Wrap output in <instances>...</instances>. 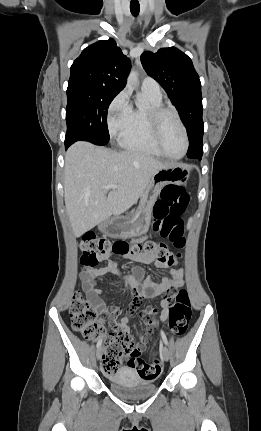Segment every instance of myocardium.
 Returning <instances> with one entry per match:
<instances>
[{
  "instance_id": "f54148a6",
  "label": "myocardium",
  "mask_w": 261,
  "mask_h": 431,
  "mask_svg": "<svg viewBox=\"0 0 261 431\" xmlns=\"http://www.w3.org/2000/svg\"><path fill=\"white\" fill-rule=\"evenodd\" d=\"M169 114L174 116L176 122L178 123V125L182 131L183 137H184L185 147H184L183 153L178 157L170 156L165 151V149L162 145V142H161L162 121H163V118ZM146 117H147V121H148V124L150 127L152 139H153L156 147L158 148V150L162 153V155L167 157L168 159H171V160H180V159L184 158L188 152V149H189V137H188L186 127H185L180 115L178 114V112L174 108H171V107L150 106L148 108V110L146 111Z\"/></svg>"
}]
</instances>
